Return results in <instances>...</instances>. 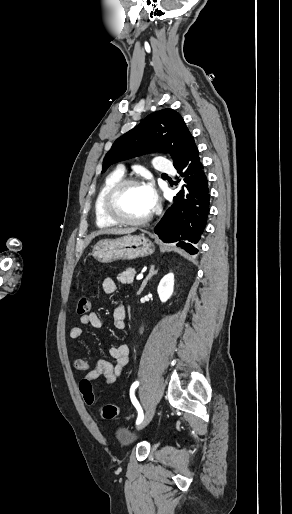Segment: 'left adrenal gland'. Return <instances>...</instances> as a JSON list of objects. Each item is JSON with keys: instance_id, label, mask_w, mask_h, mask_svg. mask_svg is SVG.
<instances>
[{"instance_id": "1", "label": "left adrenal gland", "mask_w": 292, "mask_h": 514, "mask_svg": "<svg viewBox=\"0 0 292 514\" xmlns=\"http://www.w3.org/2000/svg\"><path fill=\"white\" fill-rule=\"evenodd\" d=\"M155 266H151L150 270H149V274L147 276V278H145V280H143L142 282V286L138 292V294H141V292H143L148 280H151L152 276H155V274H157L158 270H154Z\"/></svg>"}]
</instances>
